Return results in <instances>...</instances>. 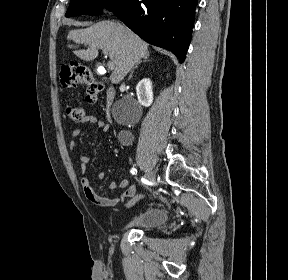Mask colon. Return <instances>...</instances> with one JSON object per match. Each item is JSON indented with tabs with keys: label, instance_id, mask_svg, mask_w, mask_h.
Instances as JSON below:
<instances>
[{
	"label": "colon",
	"instance_id": "1",
	"mask_svg": "<svg viewBox=\"0 0 288 280\" xmlns=\"http://www.w3.org/2000/svg\"><path fill=\"white\" fill-rule=\"evenodd\" d=\"M60 81L65 88H74L77 84L87 85L86 99L89 103H94L103 89L102 85L93 79L90 71L79 64L64 66L60 71ZM67 112L75 122H81L84 119L85 111L81 105H70ZM140 198L141 196H138L136 201Z\"/></svg>",
	"mask_w": 288,
	"mask_h": 280
}]
</instances>
